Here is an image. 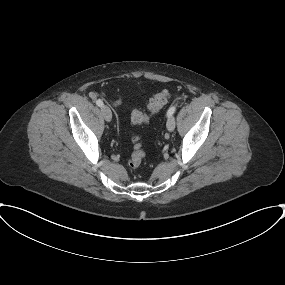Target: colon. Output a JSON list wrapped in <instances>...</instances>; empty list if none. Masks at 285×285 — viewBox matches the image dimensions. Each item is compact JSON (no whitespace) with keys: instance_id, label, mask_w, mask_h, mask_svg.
I'll list each match as a JSON object with an SVG mask.
<instances>
[{"instance_id":"1","label":"colon","mask_w":285,"mask_h":285,"mask_svg":"<svg viewBox=\"0 0 285 285\" xmlns=\"http://www.w3.org/2000/svg\"><path fill=\"white\" fill-rule=\"evenodd\" d=\"M170 97L168 90H161L158 93L154 94L153 97L149 100L148 111L146 113L139 110H134L131 113V121L134 124H143L148 123L150 119L158 113L162 107L167 103ZM132 153L129 158V166L133 169L138 168L145 157V152L143 150L142 144L138 137L134 136L132 138Z\"/></svg>"}]
</instances>
